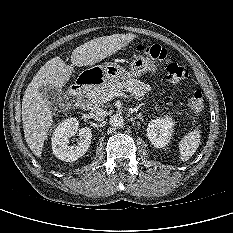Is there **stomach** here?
<instances>
[{
	"label": "stomach",
	"instance_id": "obj_1",
	"mask_svg": "<svg viewBox=\"0 0 233 233\" xmlns=\"http://www.w3.org/2000/svg\"><path fill=\"white\" fill-rule=\"evenodd\" d=\"M157 65L148 57L134 58L129 69L113 62H105L102 65L94 66L82 73V76L93 79L96 83L110 81H123L132 77H140L144 73H155Z\"/></svg>",
	"mask_w": 233,
	"mask_h": 233
}]
</instances>
